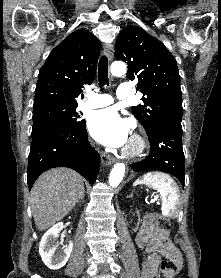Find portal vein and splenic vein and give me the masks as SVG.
Returning a JSON list of instances; mask_svg holds the SVG:
<instances>
[{
	"label": "portal vein and splenic vein",
	"instance_id": "18ae733b",
	"mask_svg": "<svg viewBox=\"0 0 221 278\" xmlns=\"http://www.w3.org/2000/svg\"><path fill=\"white\" fill-rule=\"evenodd\" d=\"M156 200V198H153L152 202H154Z\"/></svg>",
	"mask_w": 221,
	"mask_h": 278
}]
</instances>
